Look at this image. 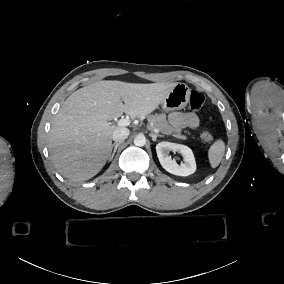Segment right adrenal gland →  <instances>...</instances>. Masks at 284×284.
I'll use <instances>...</instances> for the list:
<instances>
[{
  "instance_id": "1",
  "label": "right adrenal gland",
  "mask_w": 284,
  "mask_h": 284,
  "mask_svg": "<svg viewBox=\"0 0 284 284\" xmlns=\"http://www.w3.org/2000/svg\"><path fill=\"white\" fill-rule=\"evenodd\" d=\"M121 144H122V143L120 142V143H114V144L112 145V148H111L112 153H111V155H110V161L113 160L114 155H115V153H116L118 147H119Z\"/></svg>"
}]
</instances>
